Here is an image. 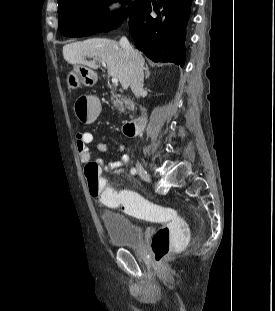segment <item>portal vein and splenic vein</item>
<instances>
[{
  "mask_svg": "<svg viewBox=\"0 0 275 311\" xmlns=\"http://www.w3.org/2000/svg\"><path fill=\"white\" fill-rule=\"evenodd\" d=\"M99 60V59H96ZM103 65H105L104 61L99 60ZM93 63H95V60L92 61ZM112 83L117 85L118 84V78L117 77H112Z\"/></svg>",
  "mask_w": 275,
  "mask_h": 311,
  "instance_id": "1",
  "label": "portal vein and splenic vein"
}]
</instances>
